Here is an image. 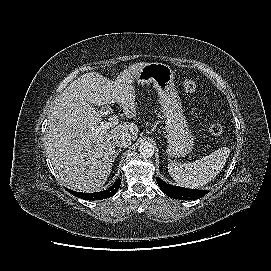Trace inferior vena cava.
<instances>
[{
	"label": "inferior vena cava",
	"instance_id": "1",
	"mask_svg": "<svg viewBox=\"0 0 271 271\" xmlns=\"http://www.w3.org/2000/svg\"><path fill=\"white\" fill-rule=\"evenodd\" d=\"M114 144L117 147L126 148L132 144V138L127 133H120L114 138Z\"/></svg>",
	"mask_w": 271,
	"mask_h": 271
}]
</instances>
